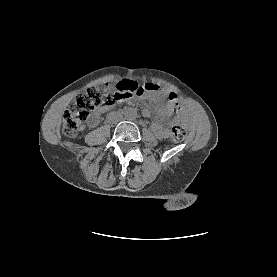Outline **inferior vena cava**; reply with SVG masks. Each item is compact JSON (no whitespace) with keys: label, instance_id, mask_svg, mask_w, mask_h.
<instances>
[{"label":"inferior vena cava","instance_id":"602c4592","mask_svg":"<svg viewBox=\"0 0 277 277\" xmlns=\"http://www.w3.org/2000/svg\"><path fill=\"white\" fill-rule=\"evenodd\" d=\"M121 119L120 116H115V114H109L108 120L112 122H118Z\"/></svg>","mask_w":277,"mask_h":277}]
</instances>
